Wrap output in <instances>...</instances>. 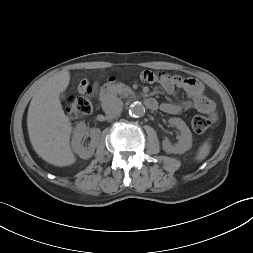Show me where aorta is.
<instances>
[{"label":"aorta","instance_id":"762f6f07","mask_svg":"<svg viewBox=\"0 0 253 253\" xmlns=\"http://www.w3.org/2000/svg\"><path fill=\"white\" fill-rule=\"evenodd\" d=\"M129 114L133 117H142L145 114V107L140 102H134L130 105Z\"/></svg>","mask_w":253,"mask_h":253}]
</instances>
